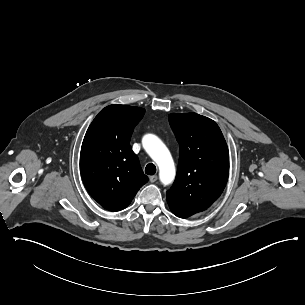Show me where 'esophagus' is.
Masks as SVG:
<instances>
[{
    "label": "esophagus",
    "instance_id": "obj_1",
    "mask_svg": "<svg viewBox=\"0 0 305 305\" xmlns=\"http://www.w3.org/2000/svg\"><path fill=\"white\" fill-rule=\"evenodd\" d=\"M157 179H158V176L157 175H152V176H150L149 177V180H150V182H155V181H157Z\"/></svg>",
    "mask_w": 305,
    "mask_h": 305
}]
</instances>
